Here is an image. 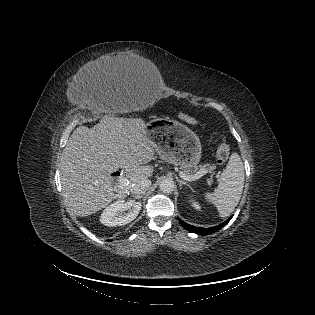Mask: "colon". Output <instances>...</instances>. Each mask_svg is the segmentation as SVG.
I'll return each mask as SVG.
<instances>
[{
    "label": "colon",
    "instance_id": "1",
    "mask_svg": "<svg viewBox=\"0 0 315 315\" xmlns=\"http://www.w3.org/2000/svg\"><path fill=\"white\" fill-rule=\"evenodd\" d=\"M180 118L184 122L191 125H196L198 123L196 118L185 113L180 114ZM229 156H230L229 146L223 140L219 141L216 149V162L218 164H223L228 160Z\"/></svg>",
    "mask_w": 315,
    "mask_h": 315
}]
</instances>
